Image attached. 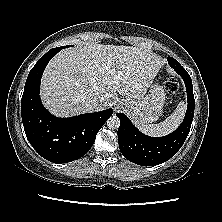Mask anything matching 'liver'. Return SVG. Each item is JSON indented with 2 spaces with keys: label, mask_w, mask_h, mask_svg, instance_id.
<instances>
[{
  "label": "liver",
  "mask_w": 222,
  "mask_h": 222,
  "mask_svg": "<svg viewBox=\"0 0 222 222\" xmlns=\"http://www.w3.org/2000/svg\"><path fill=\"white\" fill-rule=\"evenodd\" d=\"M165 61L133 46L87 44L67 48L47 65L41 82V99L59 117L89 112L85 100L97 98L98 110L112 105L120 94L142 97Z\"/></svg>",
  "instance_id": "obj_1"
}]
</instances>
